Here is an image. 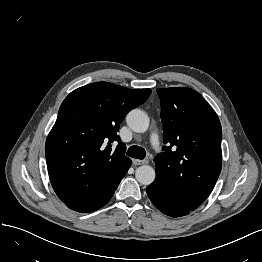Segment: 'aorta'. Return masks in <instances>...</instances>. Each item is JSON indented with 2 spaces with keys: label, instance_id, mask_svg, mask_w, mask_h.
Listing matches in <instances>:
<instances>
[{
  "label": "aorta",
  "instance_id": "aorta-1",
  "mask_svg": "<svg viewBox=\"0 0 262 262\" xmlns=\"http://www.w3.org/2000/svg\"><path fill=\"white\" fill-rule=\"evenodd\" d=\"M127 125L137 133L146 132L149 128V117L148 115L140 110H131L126 117ZM135 177L137 181L142 185H150L153 183L156 177L154 168L149 165H142L135 171Z\"/></svg>",
  "mask_w": 262,
  "mask_h": 262
}]
</instances>
